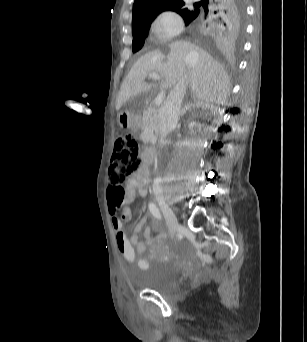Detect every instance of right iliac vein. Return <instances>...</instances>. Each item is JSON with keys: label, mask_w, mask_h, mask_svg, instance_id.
<instances>
[{"label": "right iliac vein", "mask_w": 307, "mask_h": 342, "mask_svg": "<svg viewBox=\"0 0 307 342\" xmlns=\"http://www.w3.org/2000/svg\"><path fill=\"white\" fill-rule=\"evenodd\" d=\"M158 204L161 208V211L167 221V226L170 232L171 236H174L177 232V230L180 228V224L178 222V219L169 206V204L163 199L162 197L158 196L157 197Z\"/></svg>", "instance_id": "obj_1"}]
</instances>
